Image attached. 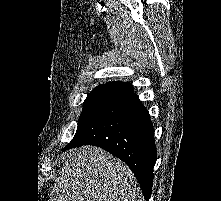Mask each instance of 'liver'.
Returning a JSON list of instances; mask_svg holds the SVG:
<instances>
[{
    "mask_svg": "<svg viewBox=\"0 0 221 201\" xmlns=\"http://www.w3.org/2000/svg\"><path fill=\"white\" fill-rule=\"evenodd\" d=\"M50 201H136L129 167L104 150L83 146L64 154Z\"/></svg>",
    "mask_w": 221,
    "mask_h": 201,
    "instance_id": "1",
    "label": "liver"
}]
</instances>
